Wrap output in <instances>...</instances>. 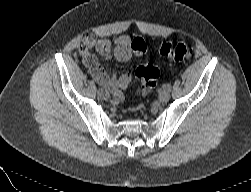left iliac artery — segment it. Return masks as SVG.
Here are the masks:
<instances>
[{
  "mask_svg": "<svg viewBox=\"0 0 251 192\" xmlns=\"http://www.w3.org/2000/svg\"><path fill=\"white\" fill-rule=\"evenodd\" d=\"M163 88L168 90V91H171V84L168 83V84L164 85Z\"/></svg>",
  "mask_w": 251,
  "mask_h": 192,
  "instance_id": "left-iliac-artery-1",
  "label": "left iliac artery"
}]
</instances>
